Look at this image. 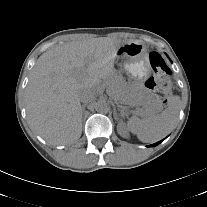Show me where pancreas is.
Returning <instances> with one entry per match:
<instances>
[{"instance_id":"obj_1","label":"pancreas","mask_w":207,"mask_h":207,"mask_svg":"<svg viewBox=\"0 0 207 207\" xmlns=\"http://www.w3.org/2000/svg\"><path fill=\"white\" fill-rule=\"evenodd\" d=\"M108 86V90L111 92V94L116 98V99H120V88L119 85L116 82H108L107 83ZM154 106L149 103L146 102L142 108H138L137 109V113L141 114V115H146V114H150L153 110H154Z\"/></svg>"}]
</instances>
